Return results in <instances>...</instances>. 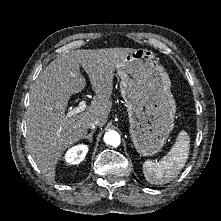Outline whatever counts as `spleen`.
Instances as JSON below:
<instances>
[{
  "label": "spleen",
  "instance_id": "spleen-1",
  "mask_svg": "<svg viewBox=\"0 0 221 221\" xmlns=\"http://www.w3.org/2000/svg\"><path fill=\"white\" fill-rule=\"evenodd\" d=\"M190 150V138L184 130L180 131L170 152L159 162L147 160L143 164L146 180L155 185L166 184L175 179L185 166Z\"/></svg>",
  "mask_w": 221,
  "mask_h": 221
}]
</instances>
